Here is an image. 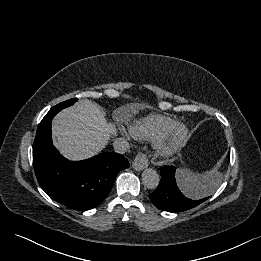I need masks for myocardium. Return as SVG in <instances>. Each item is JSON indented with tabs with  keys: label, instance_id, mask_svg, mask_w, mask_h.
Wrapping results in <instances>:
<instances>
[{
	"label": "myocardium",
	"instance_id": "myocardium-1",
	"mask_svg": "<svg viewBox=\"0 0 261 261\" xmlns=\"http://www.w3.org/2000/svg\"><path fill=\"white\" fill-rule=\"evenodd\" d=\"M189 135V129L184 124L177 125L170 133L159 139L156 144L158 155L168 157L181 148Z\"/></svg>",
	"mask_w": 261,
	"mask_h": 261
}]
</instances>
